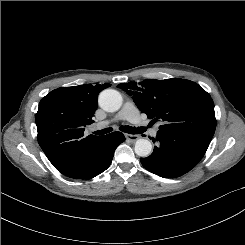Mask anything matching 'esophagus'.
<instances>
[{
    "instance_id": "esophagus-1",
    "label": "esophagus",
    "mask_w": 245,
    "mask_h": 245,
    "mask_svg": "<svg viewBox=\"0 0 245 245\" xmlns=\"http://www.w3.org/2000/svg\"><path fill=\"white\" fill-rule=\"evenodd\" d=\"M125 137L130 142H135L139 138L138 135H131V134H125Z\"/></svg>"
}]
</instances>
